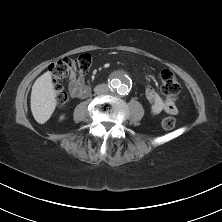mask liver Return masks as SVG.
I'll return each mask as SVG.
<instances>
[{
	"mask_svg": "<svg viewBox=\"0 0 222 222\" xmlns=\"http://www.w3.org/2000/svg\"><path fill=\"white\" fill-rule=\"evenodd\" d=\"M30 102L34 119L39 124L47 122L57 104L51 72H45L36 79L32 86Z\"/></svg>",
	"mask_w": 222,
	"mask_h": 222,
	"instance_id": "obj_1",
	"label": "liver"
}]
</instances>
